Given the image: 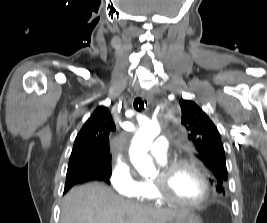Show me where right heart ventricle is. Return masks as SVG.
Here are the masks:
<instances>
[{
    "label": "right heart ventricle",
    "mask_w": 267,
    "mask_h": 223,
    "mask_svg": "<svg viewBox=\"0 0 267 223\" xmlns=\"http://www.w3.org/2000/svg\"><path fill=\"white\" fill-rule=\"evenodd\" d=\"M160 162L164 164L165 160H160ZM133 196H136V198L141 201H149L155 203L160 201L155 194L151 180L147 179H141L139 181L137 192Z\"/></svg>",
    "instance_id": "obj_1"
}]
</instances>
